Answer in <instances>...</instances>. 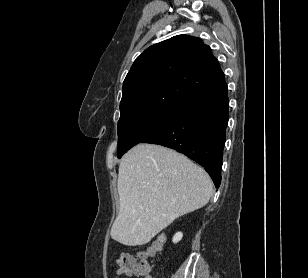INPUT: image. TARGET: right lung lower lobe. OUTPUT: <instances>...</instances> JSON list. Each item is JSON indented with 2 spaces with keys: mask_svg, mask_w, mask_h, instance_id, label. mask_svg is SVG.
<instances>
[{
  "mask_svg": "<svg viewBox=\"0 0 308 278\" xmlns=\"http://www.w3.org/2000/svg\"><path fill=\"white\" fill-rule=\"evenodd\" d=\"M228 108L225 84L179 108L167 125L142 143L159 144L185 154L204 166L215 186L219 187Z\"/></svg>",
  "mask_w": 308,
  "mask_h": 278,
  "instance_id": "1",
  "label": "right lung lower lobe"
}]
</instances>
